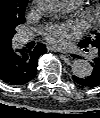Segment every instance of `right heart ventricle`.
<instances>
[{
  "instance_id": "right-heart-ventricle-1",
  "label": "right heart ventricle",
  "mask_w": 100,
  "mask_h": 118,
  "mask_svg": "<svg viewBox=\"0 0 100 118\" xmlns=\"http://www.w3.org/2000/svg\"><path fill=\"white\" fill-rule=\"evenodd\" d=\"M63 1H66V2H75V3L79 4L83 0H63Z\"/></svg>"
}]
</instances>
